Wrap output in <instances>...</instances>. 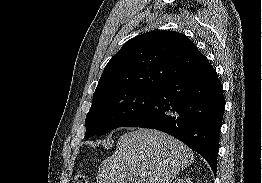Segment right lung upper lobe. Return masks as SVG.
<instances>
[{
  "label": "right lung upper lobe",
  "mask_w": 262,
  "mask_h": 183,
  "mask_svg": "<svg viewBox=\"0 0 262 183\" xmlns=\"http://www.w3.org/2000/svg\"><path fill=\"white\" fill-rule=\"evenodd\" d=\"M208 63L179 32L157 30L127 41L106 65L94 96L125 89H159Z\"/></svg>",
  "instance_id": "1"
}]
</instances>
